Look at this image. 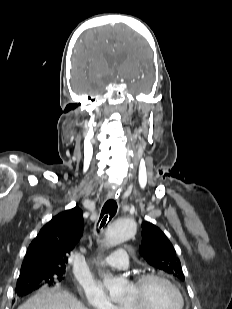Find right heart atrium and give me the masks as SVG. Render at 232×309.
Masks as SVG:
<instances>
[{
    "label": "right heart atrium",
    "instance_id": "d8ad5b80",
    "mask_svg": "<svg viewBox=\"0 0 232 309\" xmlns=\"http://www.w3.org/2000/svg\"><path fill=\"white\" fill-rule=\"evenodd\" d=\"M86 303L93 309H120V306L114 304L106 293L96 285H90L84 288Z\"/></svg>",
    "mask_w": 232,
    "mask_h": 309
}]
</instances>
